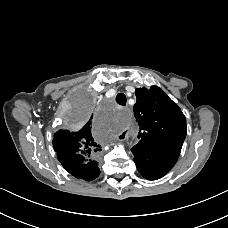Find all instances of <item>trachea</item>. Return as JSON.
<instances>
[{
	"label": "trachea",
	"mask_w": 228,
	"mask_h": 228,
	"mask_svg": "<svg viewBox=\"0 0 228 228\" xmlns=\"http://www.w3.org/2000/svg\"><path fill=\"white\" fill-rule=\"evenodd\" d=\"M116 102L121 106H125L127 102L126 96L123 93H119L116 96Z\"/></svg>",
	"instance_id": "3493384b"
}]
</instances>
